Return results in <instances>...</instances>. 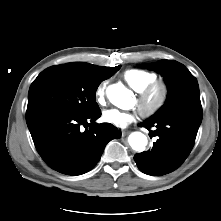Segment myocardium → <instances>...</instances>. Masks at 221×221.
<instances>
[{
	"instance_id": "f54148a6",
	"label": "myocardium",
	"mask_w": 221,
	"mask_h": 221,
	"mask_svg": "<svg viewBox=\"0 0 221 221\" xmlns=\"http://www.w3.org/2000/svg\"><path fill=\"white\" fill-rule=\"evenodd\" d=\"M157 98L152 101L154 94ZM169 96V85L164 80H154L137 94V106L143 117L149 118L158 113L166 104Z\"/></svg>"
}]
</instances>
